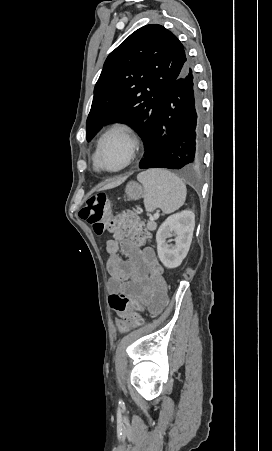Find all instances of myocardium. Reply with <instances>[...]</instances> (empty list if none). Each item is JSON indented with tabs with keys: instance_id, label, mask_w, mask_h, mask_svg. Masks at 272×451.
Here are the masks:
<instances>
[{
	"instance_id": "f54148a6",
	"label": "myocardium",
	"mask_w": 272,
	"mask_h": 451,
	"mask_svg": "<svg viewBox=\"0 0 272 451\" xmlns=\"http://www.w3.org/2000/svg\"><path fill=\"white\" fill-rule=\"evenodd\" d=\"M112 136H117L124 142L126 149H127V154H128L125 164L120 169L111 171V172L117 173V172H121V171L125 170L132 163V161L135 157L136 141H135L134 137L132 136V134L130 133L129 129L122 125H115V126L109 128L107 131H105V133L100 137V139L97 143L96 150L94 153V158H93L96 169H98L100 171L105 170L99 163V155H100L101 149H102L103 145L105 144V142Z\"/></svg>"
}]
</instances>
